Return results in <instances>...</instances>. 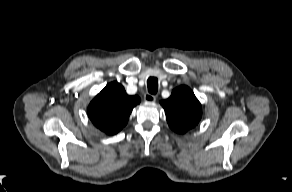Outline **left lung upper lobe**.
<instances>
[{
    "label": "left lung upper lobe",
    "mask_w": 292,
    "mask_h": 192,
    "mask_svg": "<svg viewBox=\"0 0 292 192\" xmlns=\"http://www.w3.org/2000/svg\"><path fill=\"white\" fill-rule=\"evenodd\" d=\"M160 103L170 128L177 133L187 132L196 126L202 117L201 104L187 86L177 87L168 99Z\"/></svg>",
    "instance_id": "1"
}]
</instances>
